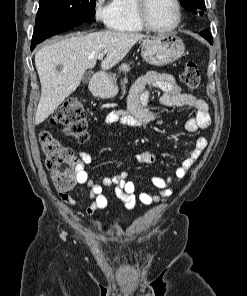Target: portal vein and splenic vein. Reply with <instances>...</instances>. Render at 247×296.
<instances>
[{"label": "portal vein and splenic vein", "instance_id": "18ae733b", "mask_svg": "<svg viewBox=\"0 0 247 296\" xmlns=\"http://www.w3.org/2000/svg\"><path fill=\"white\" fill-rule=\"evenodd\" d=\"M104 54H105V53H100V54L98 55V59H99V60L103 59Z\"/></svg>", "mask_w": 247, "mask_h": 296}]
</instances>
